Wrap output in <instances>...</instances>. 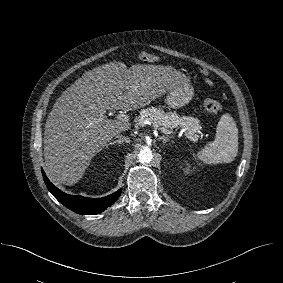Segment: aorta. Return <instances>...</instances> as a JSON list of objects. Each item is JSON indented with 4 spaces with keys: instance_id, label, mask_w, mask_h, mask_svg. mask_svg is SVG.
<instances>
[{
    "instance_id": "762f6f07",
    "label": "aorta",
    "mask_w": 283,
    "mask_h": 283,
    "mask_svg": "<svg viewBox=\"0 0 283 283\" xmlns=\"http://www.w3.org/2000/svg\"><path fill=\"white\" fill-rule=\"evenodd\" d=\"M152 158V151L148 147L142 148L138 154V159L141 163H150Z\"/></svg>"
}]
</instances>
